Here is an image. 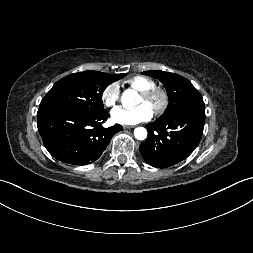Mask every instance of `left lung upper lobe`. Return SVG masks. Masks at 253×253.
I'll return each instance as SVG.
<instances>
[{
  "label": "left lung upper lobe",
  "mask_w": 253,
  "mask_h": 253,
  "mask_svg": "<svg viewBox=\"0 0 253 253\" xmlns=\"http://www.w3.org/2000/svg\"><path fill=\"white\" fill-rule=\"evenodd\" d=\"M142 74L160 80L167 90L169 104L159 119L169 118L192 100L201 96L192 83L180 75L160 70L145 71Z\"/></svg>",
  "instance_id": "obj_1"
}]
</instances>
